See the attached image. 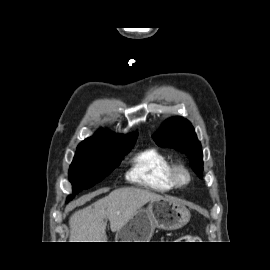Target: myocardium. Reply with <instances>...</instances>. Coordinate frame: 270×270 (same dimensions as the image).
Wrapping results in <instances>:
<instances>
[{"mask_svg": "<svg viewBox=\"0 0 270 270\" xmlns=\"http://www.w3.org/2000/svg\"><path fill=\"white\" fill-rule=\"evenodd\" d=\"M170 178L175 187L183 188L191 182V173L185 165L175 163L171 166Z\"/></svg>", "mask_w": 270, "mask_h": 270, "instance_id": "f54148a6", "label": "myocardium"}]
</instances>
